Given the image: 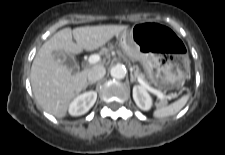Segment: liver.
I'll return each mask as SVG.
<instances>
[{"label":"liver","mask_w":225,"mask_h":155,"mask_svg":"<svg viewBox=\"0 0 225 155\" xmlns=\"http://www.w3.org/2000/svg\"><path fill=\"white\" fill-rule=\"evenodd\" d=\"M127 28V25L85 26L73 30L64 28L46 41L37 52L30 73L33 94L42 109L57 118L65 117L71 101L86 88L90 70L72 74L71 70L55 59L54 51L73 56L83 50H97ZM97 65L102 64L94 66Z\"/></svg>","instance_id":"1"}]
</instances>
